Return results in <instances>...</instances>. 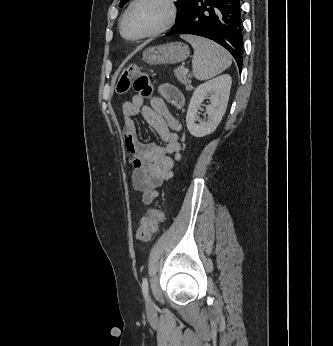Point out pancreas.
I'll use <instances>...</instances> for the list:
<instances>
[{
	"label": "pancreas",
	"mask_w": 333,
	"mask_h": 346,
	"mask_svg": "<svg viewBox=\"0 0 333 346\" xmlns=\"http://www.w3.org/2000/svg\"><path fill=\"white\" fill-rule=\"evenodd\" d=\"M175 75L180 83L186 86L187 90L192 88L191 86V74L184 72L182 68H178L175 71Z\"/></svg>",
	"instance_id": "pancreas-1"
}]
</instances>
